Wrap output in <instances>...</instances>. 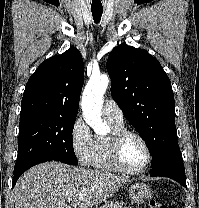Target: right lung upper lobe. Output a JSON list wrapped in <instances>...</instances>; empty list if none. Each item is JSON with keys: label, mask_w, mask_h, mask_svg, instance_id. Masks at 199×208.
<instances>
[{"label": "right lung upper lobe", "mask_w": 199, "mask_h": 208, "mask_svg": "<svg viewBox=\"0 0 199 208\" xmlns=\"http://www.w3.org/2000/svg\"><path fill=\"white\" fill-rule=\"evenodd\" d=\"M84 83V64L77 48L40 64L29 78L21 101V114L44 112L76 116Z\"/></svg>", "instance_id": "1"}]
</instances>
